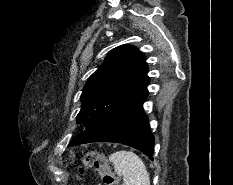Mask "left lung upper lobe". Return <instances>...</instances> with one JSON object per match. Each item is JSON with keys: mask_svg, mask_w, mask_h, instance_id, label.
Masks as SVG:
<instances>
[{"mask_svg": "<svg viewBox=\"0 0 233 185\" xmlns=\"http://www.w3.org/2000/svg\"><path fill=\"white\" fill-rule=\"evenodd\" d=\"M145 60V56L130 45L111 50L84 86L77 123L86 129L95 125L119 96L147 76Z\"/></svg>", "mask_w": 233, "mask_h": 185, "instance_id": "obj_1", "label": "left lung upper lobe"}]
</instances>
